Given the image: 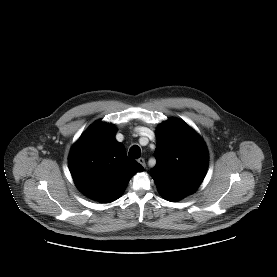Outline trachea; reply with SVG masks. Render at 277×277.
Returning <instances> with one entry per match:
<instances>
[{"label": "trachea", "mask_w": 277, "mask_h": 277, "mask_svg": "<svg viewBox=\"0 0 277 277\" xmlns=\"http://www.w3.org/2000/svg\"><path fill=\"white\" fill-rule=\"evenodd\" d=\"M129 156L131 158H135V159L139 158L141 156V149H140V147L137 146V145L132 146L130 148V150H129Z\"/></svg>", "instance_id": "1"}]
</instances>
